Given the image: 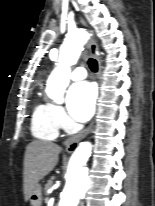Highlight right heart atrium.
I'll return each mask as SVG.
<instances>
[{"instance_id": "obj_1", "label": "right heart atrium", "mask_w": 155, "mask_h": 206, "mask_svg": "<svg viewBox=\"0 0 155 206\" xmlns=\"http://www.w3.org/2000/svg\"><path fill=\"white\" fill-rule=\"evenodd\" d=\"M51 112L55 123L60 129H67L69 126V119L60 105L51 104Z\"/></svg>"}]
</instances>
